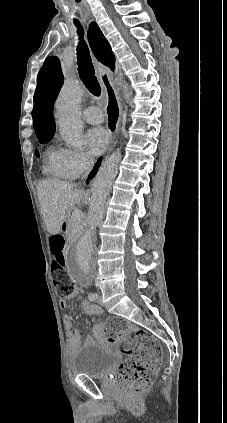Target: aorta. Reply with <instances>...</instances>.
Returning a JSON list of instances; mask_svg holds the SVG:
<instances>
[{
    "label": "aorta",
    "mask_w": 227,
    "mask_h": 423,
    "mask_svg": "<svg viewBox=\"0 0 227 423\" xmlns=\"http://www.w3.org/2000/svg\"><path fill=\"white\" fill-rule=\"evenodd\" d=\"M127 97L130 92L123 86ZM82 88L78 81L71 79L65 82L56 101V118L59 132L66 144L80 148L83 145L80 118V102ZM121 160L120 150L113 152L102 164L91 187L90 209L87 219V229L84 235L68 248L66 253V268L70 278L78 284H87L96 271V251L94 235L100 225L104 213L107 196L118 172Z\"/></svg>",
    "instance_id": "aorta-1"
}]
</instances>
